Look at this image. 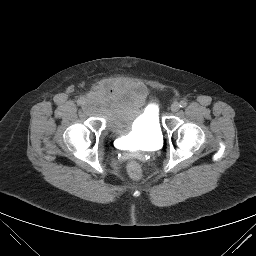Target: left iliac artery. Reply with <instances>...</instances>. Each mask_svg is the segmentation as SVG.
<instances>
[{
    "label": "left iliac artery",
    "instance_id": "44dca946",
    "mask_svg": "<svg viewBox=\"0 0 256 256\" xmlns=\"http://www.w3.org/2000/svg\"><path fill=\"white\" fill-rule=\"evenodd\" d=\"M180 107L184 108L187 106V102L185 100H182L180 101V104H179Z\"/></svg>",
    "mask_w": 256,
    "mask_h": 256
}]
</instances>
